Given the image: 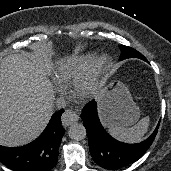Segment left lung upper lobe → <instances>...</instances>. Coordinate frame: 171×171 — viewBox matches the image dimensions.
<instances>
[{
  "label": "left lung upper lobe",
  "instance_id": "left-lung-upper-lobe-1",
  "mask_svg": "<svg viewBox=\"0 0 171 171\" xmlns=\"http://www.w3.org/2000/svg\"><path fill=\"white\" fill-rule=\"evenodd\" d=\"M119 48L121 50L120 60H123L126 58H139L144 61H147L146 58L141 53H139L137 50L131 47L120 45Z\"/></svg>",
  "mask_w": 171,
  "mask_h": 171
}]
</instances>
